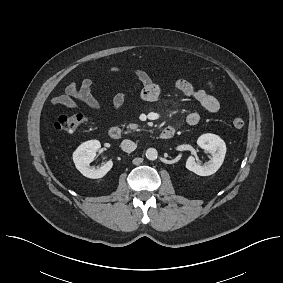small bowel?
<instances>
[{"label":"small bowel","mask_w":283,"mask_h":283,"mask_svg":"<svg viewBox=\"0 0 283 283\" xmlns=\"http://www.w3.org/2000/svg\"><path fill=\"white\" fill-rule=\"evenodd\" d=\"M111 71H117L116 68H111ZM133 74L141 83L140 96L145 101H155L161 94V87L155 83L149 74L142 69L132 70ZM176 87L186 96L194 98L203 109L209 113H216L220 104L217 97L214 95V86L211 82H206L207 89H196L186 79H179L176 82ZM92 82L90 79H84L80 85L70 83L65 90V94L55 96L51 99V103L56 106H63L69 109H78L79 105L75 100H79L91 109L99 111L100 104L94 98L91 92ZM127 98V92L122 91L117 93L112 100L115 109L123 108ZM201 119L197 111L190 112L186 117L187 124L194 126L199 123Z\"/></svg>","instance_id":"small-bowel-1"}]
</instances>
